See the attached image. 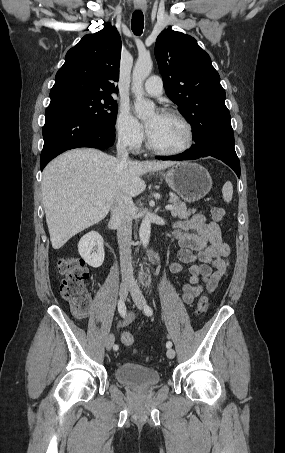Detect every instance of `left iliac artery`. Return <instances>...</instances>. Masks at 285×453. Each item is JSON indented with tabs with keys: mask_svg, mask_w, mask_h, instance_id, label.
I'll list each match as a JSON object with an SVG mask.
<instances>
[{
	"mask_svg": "<svg viewBox=\"0 0 285 453\" xmlns=\"http://www.w3.org/2000/svg\"><path fill=\"white\" fill-rule=\"evenodd\" d=\"M150 282H151V280H150V278H149V283H148L149 286H150ZM144 312H145V314H146L147 316H151V315L153 314L152 308H151L150 306H148V305H145V307H144ZM166 347H167V348H171V347H172V342H171V341H168V342L166 343Z\"/></svg>",
	"mask_w": 285,
	"mask_h": 453,
	"instance_id": "1",
	"label": "left iliac artery"
}]
</instances>
